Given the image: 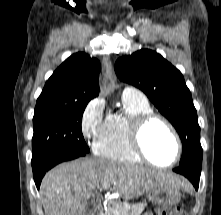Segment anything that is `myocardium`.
Returning a JSON list of instances; mask_svg holds the SVG:
<instances>
[{"instance_id": "f54148a6", "label": "myocardium", "mask_w": 221, "mask_h": 215, "mask_svg": "<svg viewBox=\"0 0 221 215\" xmlns=\"http://www.w3.org/2000/svg\"><path fill=\"white\" fill-rule=\"evenodd\" d=\"M158 120L163 125L166 126V128L171 133L172 137L174 138L175 144H176V154L174 159L168 163V164H159L156 163L154 160H152L147 152L145 151L142 143V136L144 133V130L146 129L147 125L154 121ZM128 137L130 145L133 149V151L144 161L148 162L149 164L159 167V168H170L177 164V162L180 160L182 155V143L181 139L174 128V126L171 124V122L165 118L164 116L155 113L153 111L145 112L142 114L137 115L134 117L129 124L128 129Z\"/></svg>"}]
</instances>
